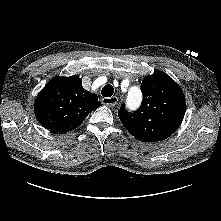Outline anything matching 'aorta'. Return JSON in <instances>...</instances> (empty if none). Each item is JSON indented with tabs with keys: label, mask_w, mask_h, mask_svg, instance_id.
<instances>
[{
	"label": "aorta",
	"mask_w": 221,
	"mask_h": 221,
	"mask_svg": "<svg viewBox=\"0 0 221 221\" xmlns=\"http://www.w3.org/2000/svg\"><path fill=\"white\" fill-rule=\"evenodd\" d=\"M140 99H141L140 92L137 90H133L129 93L127 101L131 105H137L139 104Z\"/></svg>",
	"instance_id": "obj_1"
}]
</instances>
